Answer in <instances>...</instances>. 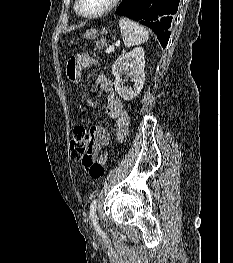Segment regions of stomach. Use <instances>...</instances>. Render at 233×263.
<instances>
[{"label": "stomach", "mask_w": 233, "mask_h": 263, "mask_svg": "<svg viewBox=\"0 0 233 263\" xmlns=\"http://www.w3.org/2000/svg\"><path fill=\"white\" fill-rule=\"evenodd\" d=\"M99 33L101 35H106L108 33V31L103 28L101 31H98L97 29H90V30H87L84 34H83V38L85 39H95ZM71 43H73V41H71Z\"/></svg>", "instance_id": "obj_1"}]
</instances>
